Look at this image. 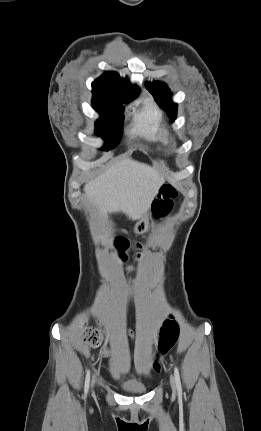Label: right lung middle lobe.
<instances>
[{
	"instance_id": "1",
	"label": "right lung middle lobe",
	"mask_w": 261,
	"mask_h": 431,
	"mask_svg": "<svg viewBox=\"0 0 261 431\" xmlns=\"http://www.w3.org/2000/svg\"><path fill=\"white\" fill-rule=\"evenodd\" d=\"M130 100H121L105 93L93 92L92 106L100 114L96 122V132L105 139L104 150L115 148L122 136L124 107L122 103Z\"/></svg>"
}]
</instances>
